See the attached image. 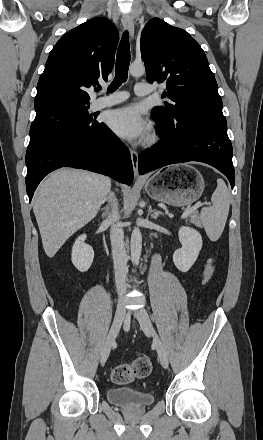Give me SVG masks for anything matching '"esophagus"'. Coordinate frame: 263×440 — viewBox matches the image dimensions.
Segmentation results:
<instances>
[{
  "label": "esophagus",
  "instance_id": "obj_1",
  "mask_svg": "<svg viewBox=\"0 0 263 440\" xmlns=\"http://www.w3.org/2000/svg\"><path fill=\"white\" fill-rule=\"evenodd\" d=\"M121 22H122L124 29L127 30L130 37L133 38L134 22H133L132 17L128 14H123L122 18H121ZM130 154H131L134 176L136 179H140L139 172H138V153L135 150H131Z\"/></svg>",
  "mask_w": 263,
  "mask_h": 440
}]
</instances>
